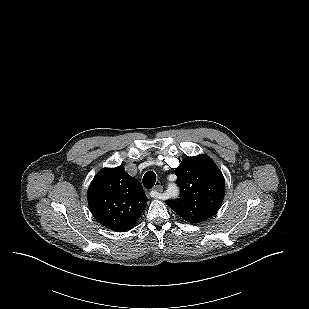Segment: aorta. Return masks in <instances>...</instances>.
Here are the masks:
<instances>
[{
    "label": "aorta",
    "instance_id": "aorta-1",
    "mask_svg": "<svg viewBox=\"0 0 309 309\" xmlns=\"http://www.w3.org/2000/svg\"><path fill=\"white\" fill-rule=\"evenodd\" d=\"M169 190H170L171 192H175V191H176V189H175L174 186H170V187H169Z\"/></svg>",
    "mask_w": 309,
    "mask_h": 309
}]
</instances>
